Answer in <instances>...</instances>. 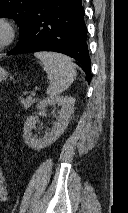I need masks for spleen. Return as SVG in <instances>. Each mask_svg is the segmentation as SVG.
Here are the masks:
<instances>
[{
    "label": "spleen",
    "instance_id": "obj_1",
    "mask_svg": "<svg viewBox=\"0 0 128 213\" xmlns=\"http://www.w3.org/2000/svg\"><path fill=\"white\" fill-rule=\"evenodd\" d=\"M34 56L42 62L50 80V85L47 88L48 96H58L73 83L76 70L69 57L54 52H36Z\"/></svg>",
    "mask_w": 128,
    "mask_h": 213
}]
</instances>
